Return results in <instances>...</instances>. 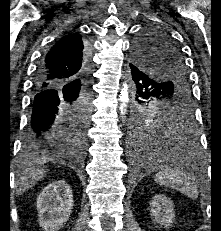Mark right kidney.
Returning <instances> with one entry per match:
<instances>
[{"instance_id": "ca27d5eb", "label": "right kidney", "mask_w": 221, "mask_h": 231, "mask_svg": "<svg viewBox=\"0 0 221 231\" xmlns=\"http://www.w3.org/2000/svg\"><path fill=\"white\" fill-rule=\"evenodd\" d=\"M73 194L67 182L58 180L47 185L37 199L39 225L45 231H57L69 219Z\"/></svg>"}]
</instances>
